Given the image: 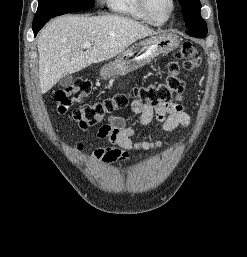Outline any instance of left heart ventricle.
Segmentation results:
<instances>
[{
    "mask_svg": "<svg viewBox=\"0 0 247 257\" xmlns=\"http://www.w3.org/2000/svg\"><path fill=\"white\" fill-rule=\"evenodd\" d=\"M151 11L156 19L165 18L171 9L169 0H151Z\"/></svg>",
    "mask_w": 247,
    "mask_h": 257,
    "instance_id": "obj_1",
    "label": "left heart ventricle"
}]
</instances>
